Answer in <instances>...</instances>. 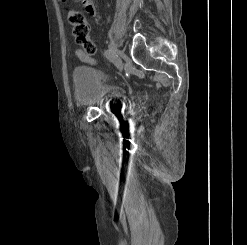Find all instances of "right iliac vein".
<instances>
[{
    "label": "right iliac vein",
    "instance_id": "right-iliac-vein-1",
    "mask_svg": "<svg viewBox=\"0 0 247 245\" xmlns=\"http://www.w3.org/2000/svg\"><path fill=\"white\" fill-rule=\"evenodd\" d=\"M109 49L112 51V53L116 56V57H108V62H110V64H115L120 70H122L123 65H122V61H121V51L116 47L115 43L113 41L110 42L109 44Z\"/></svg>",
    "mask_w": 247,
    "mask_h": 245
}]
</instances>
